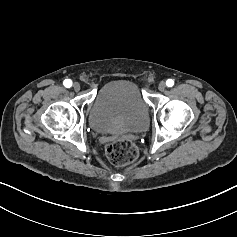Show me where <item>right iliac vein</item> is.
Listing matches in <instances>:
<instances>
[{"label":"right iliac vein","instance_id":"63e3f726","mask_svg":"<svg viewBox=\"0 0 237 237\" xmlns=\"http://www.w3.org/2000/svg\"><path fill=\"white\" fill-rule=\"evenodd\" d=\"M73 88H74V90L76 91V92H78L79 90H80V88H81V86H80V84L79 83H74L73 84Z\"/></svg>","mask_w":237,"mask_h":237}]
</instances>
